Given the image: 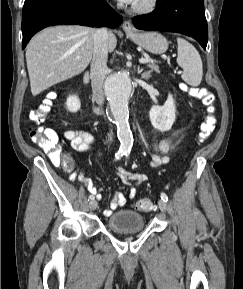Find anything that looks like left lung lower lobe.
<instances>
[{
  "mask_svg": "<svg viewBox=\"0 0 243 289\" xmlns=\"http://www.w3.org/2000/svg\"><path fill=\"white\" fill-rule=\"evenodd\" d=\"M136 28L182 33L206 49L208 41L204 0H157L155 10L133 18Z\"/></svg>",
  "mask_w": 243,
  "mask_h": 289,
  "instance_id": "0a47b994",
  "label": "left lung lower lobe"
}]
</instances>
